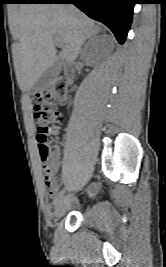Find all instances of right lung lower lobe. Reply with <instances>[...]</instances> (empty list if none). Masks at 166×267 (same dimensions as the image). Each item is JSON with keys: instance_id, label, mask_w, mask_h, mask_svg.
Listing matches in <instances>:
<instances>
[{"instance_id": "obj_1", "label": "right lung lower lobe", "mask_w": 166, "mask_h": 267, "mask_svg": "<svg viewBox=\"0 0 166 267\" xmlns=\"http://www.w3.org/2000/svg\"><path fill=\"white\" fill-rule=\"evenodd\" d=\"M20 3H73L90 18L108 26L118 42L123 44L136 0H22Z\"/></svg>"}]
</instances>
